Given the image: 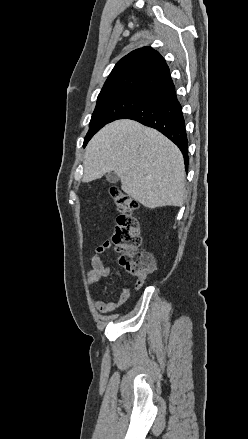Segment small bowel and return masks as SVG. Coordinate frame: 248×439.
<instances>
[{
  "mask_svg": "<svg viewBox=\"0 0 248 439\" xmlns=\"http://www.w3.org/2000/svg\"><path fill=\"white\" fill-rule=\"evenodd\" d=\"M110 247L111 244L106 242L97 247L91 254L89 258L90 269L86 273V283L88 287H94L102 277H107L111 274L115 262H113L111 265H104L101 258L102 254L106 250L110 249ZM140 287L141 286L135 285L136 290H138ZM130 295V289L124 288L118 298L114 301H104L93 297L92 302L98 312L106 314L122 307L128 301Z\"/></svg>",
  "mask_w": 248,
  "mask_h": 439,
  "instance_id": "obj_1",
  "label": "small bowel"
}]
</instances>
